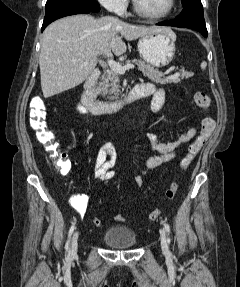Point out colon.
<instances>
[{
    "label": "colon",
    "instance_id": "obj_1",
    "mask_svg": "<svg viewBox=\"0 0 240 287\" xmlns=\"http://www.w3.org/2000/svg\"><path fill=\"white\" fill-rule=\"evenodd\" d=\"M193 98L196 105L203 111H207L210 108L211 99L206 92L195 91L193 93ZM29 115H30L31 128L34 130L37 139L41 143L47 145L48 150L52 152V156L57 169L63 173L68 172L70 169V162L66 159V157L63 154H60L56 150V146L54 144V135L48 129L45 121L46 107L44 102L39 97H35L31 100ZM214 127L215 122L212 118L206 117L202 120L199 135L197 136L195 141L189 145L187 153L180 163L181 171H185L190 166L196 155L205 145ZM177 188H178L177 182H173L170 185V187L166 192V196L168 199L174 198ZM160 214H161L160 210L155 209L152 212H150V214L148 215V219L150 221H155L160 217ZM115 220L118 222H123L125 218L122 215H116ZM92 223L94 226H100L101 220L98 217H94L92 219Z\"/></svg>",
    "mask_w": 240,
    "mask_h": 287
}]
</instances>
